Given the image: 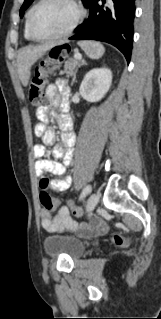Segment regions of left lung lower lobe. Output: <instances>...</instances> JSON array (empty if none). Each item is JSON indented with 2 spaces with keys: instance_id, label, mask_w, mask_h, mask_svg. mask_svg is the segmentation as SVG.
Masks as SVG:
<instances>
[{
  "instance_id": "1",
  "label": "left lung lower lobe",
  "mask_w": 161,
  "mask_h": 319,
  "mask_svg": "<svg viewBox=\"0 0 161 319\" xmlns=\"http://www.w3.org/2000/svg\"><path fill=\"white\" fill-rule=\"evenodd\" d=\"M90 0V13L75 29L71 40H98L117 47L129 62L133 44L135 0Z\"/></svg>"
}]
</instances>
